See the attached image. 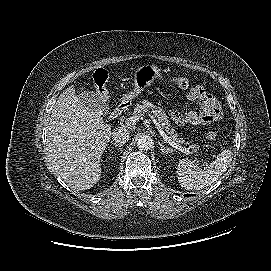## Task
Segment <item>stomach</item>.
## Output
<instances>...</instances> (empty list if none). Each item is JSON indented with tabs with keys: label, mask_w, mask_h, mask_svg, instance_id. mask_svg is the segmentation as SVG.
Returning a JSON list of instances; mask_svg holds the SVG:
<instances>
[{
	"label": "stomach",
	"mask_w": 271,
	"mask_h": 271,
	"mask_svg": "<svg viewBox=\"0 0 271 271\" xmlns=\"http://www.w3.org/2000/svg\"><path fill=\"white\" fill-rule=\"evenodd\" d=\"M159 77H161V69L157 65L146 64L140 66L133 74V88L123 94L122 101L130 103Z\"/></svg>",
	"instance_id": "0dacf381"
}]
</instances>
